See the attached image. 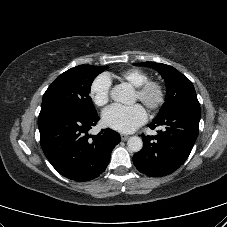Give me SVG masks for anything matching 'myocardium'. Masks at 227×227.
<instances>
[{
    "label": "myocardium",
    "instance_id": "obj_1",
    "mask_svg": "<svg viewBox=\"0 0 227 227\" xmlns=\"http://www.w3.org/2000/svg\"><path fill=\"white\" fill-rule=\"evenodd\" d=\"M136 94L139 100L150 110H157L162 107L166 100V90L162 83L148 80L136 87Z\"/></svg>",
    "mask_w": 227,
    "mask_h": 227
}]
</instances>
